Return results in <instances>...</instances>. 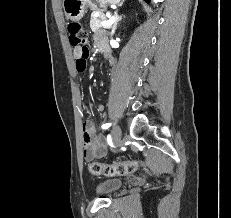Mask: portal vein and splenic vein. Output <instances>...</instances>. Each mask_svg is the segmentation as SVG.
<instances>
[{
    "label": "portal vein and splenic vein",
    "mask_w": 231,
    "mask_h": 218,
    "mask_svg": "<svg viewBox=\"0 0 231 218\" xmlns=\"http://www.w3.org/2000/svg\"><path fill=\"white\" fill-rule=\"evenodd\" d=\"M114 22H115V17H111L109 20L101 21L100 24H101L103 27H109V26L113 25Z\"/></svg>",
    "instance_id": "obj_1"
}]
</instances>
